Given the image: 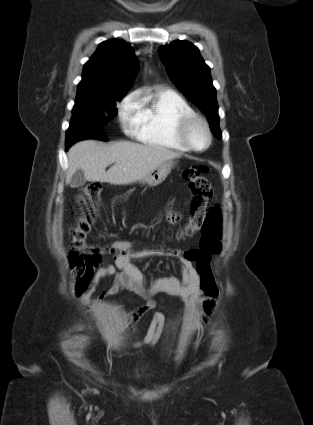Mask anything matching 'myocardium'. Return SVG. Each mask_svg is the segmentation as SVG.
<instances>
[{
	"label": "myocardium",
	"instance_id": "1",
	"mask_svg": "<svg viewBox=\"0 0 313 425\" xmlns=\"http://www.w3.org/2000/svg\"><path fill=\"white\" fill-rule=\"evenodd\" d=\"M197 124H200L207 135V144L203 148H197L193 145L189 138V132L190 130ZM176 134L178 137V140L189 150L196 151V152H202L208 149L212 143V133L210 126L208 122L202 117L197 114H189L182 116L177 123V130Z\"/></svg>",
	"mask_w": 313,
	"mask_h": 425
}]
</instances>
